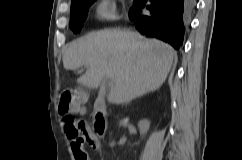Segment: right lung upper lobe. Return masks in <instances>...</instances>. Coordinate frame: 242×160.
Returning a JSON list of instances; mask_svg holds the SVG:
<instances>
[{
  "instance_id": "obj_1",
  "label": "right lung upper lobe",
  "mask_w": 242,
  "mask_h": 160,
  "mask_svg": "<svg viewBox=\"0 0 242 160\" xmlns=\"http://www.w3.org/2000/svg\"><path fill=\"white\" fill-rule=\"evenodd\" d=\"M74 1H77V0H72L71 2H74Z\"/></svg>"
}]
</instances>
